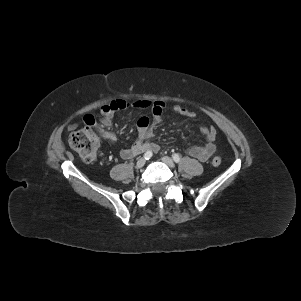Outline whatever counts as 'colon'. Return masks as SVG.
<instances>
[{
    "label": "colon",
    "mask_w": 301,
    "mask_h": 301,
    "mask_svg": "<svg viewBox=\"0 0 301 301\" xmlns=\"http://www.w3.org/2000/svg\"><path fill=\"white\" fill-rule=\"evenodd\" d=\"M69 144L79 156L87 162H91L96 158L98 148V138L90 128H82L73 132L69 137ZM222 160L219 156L212 159L214 166H220Z\"/></svg>",
    "instance_id": "1"
}]
</instances>
